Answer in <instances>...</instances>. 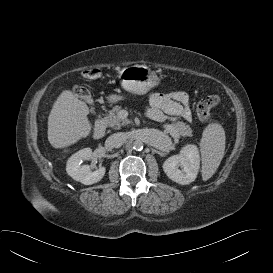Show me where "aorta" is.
<instances>
[{"mask_svg": "<svg viewBox=\"0 0 273 273\" xmlns=\"http://www.w3.org/2000/svg\"><path fill=\"white\" fill-rule=\"evenodd\" d=\"M133 148L138 151L142 150L143 149V142L141 140L134 141Z\"/></svg>", "mask_w": 273, "mask_h": 273, "instance_id": "obj_1", "label": "aorta"}]
</instances>
